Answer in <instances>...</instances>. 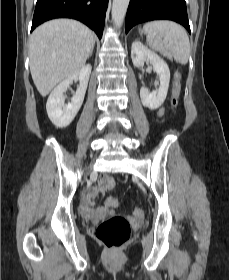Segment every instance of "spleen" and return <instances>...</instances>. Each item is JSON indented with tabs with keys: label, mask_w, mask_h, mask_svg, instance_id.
I'll return each instance as SVG.
<instances>
[{
	"label": "spleen",
	"mask_w": 229,
	"mask_h": 280,
	"mask_svg": "<svg viewBox=\"0 0 229 280\" xmlns=\"http://www.w3.org/2000/svg\"><path fill=\"white\" fill-rule=\"evenodd\" d=\"M143 29L151 49L169 53L183 65L188 62L190 43L182 26L168 20H157L146 23Z\"/></svg>",
	"instance_id": "3e777b00"
}]
</instances>
